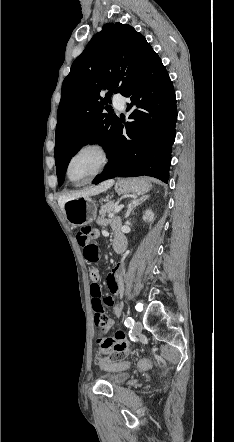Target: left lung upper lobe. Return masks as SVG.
<instances>
[{
  "label": "left lung upper lobe",
  "instance_id": "1",
  "mask_svg": "<svg viewBox=\"0 0 234 442\" xmlns=\"http://www.w3.org/2000/svg\"><path fill=\"white\" fill-rule=\"evenodd\" d=\"M153 53L142 34L117 22L105 24L75 59L63 81L57 112L54 152L59 186L70 159L84 145L98 143L109 155L119 118L104 110H110L112 94H122Z\"/></svg>",
  "mask_w": 234,
  "mask_h": 442
}]
</instances>
